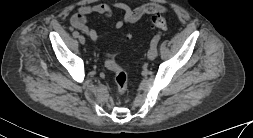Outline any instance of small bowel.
<instances>
[{"label":"small bowel","instance_id":"obj_1","mask_svg":"<svg viewBox=\"0 0 253 138\" xmlns=\"http://www.w3.org/2000/svg\"><path fill=\"white\" fill-rule=\"evenodd\" d=\"M112 8L119 9L124 13L122 19L117 21L114 26L117 30L121 29L126 24H134L138 22L146 15L163 14L168 11L165 6L156 3L140 4L134 8H131L123 2L113 3L112 6L101 3L79 7L71 17L70 23L74 28L86 34L91 40H98L105 34H101L95 28L87 26L88 16L95 14L101 17H110L112 15Z\"/></svg>","mask_w":253,"mask_h":138}]
</instances>
